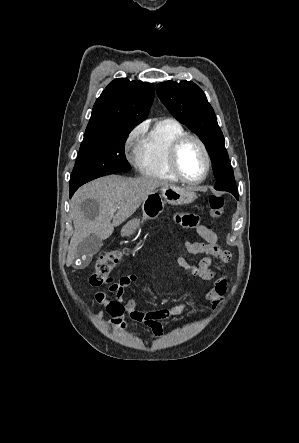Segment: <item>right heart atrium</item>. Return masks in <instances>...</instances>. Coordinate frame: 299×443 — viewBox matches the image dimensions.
Segmentation results:
<instances>
[{"instance_id": "obj_1", "label": "right heart atrium", "mask_w": 299, "mask_h": 443, "mask_svg": "<svg viewBox=\"0 0 299 443\" xmlns=\"http://www.w3.org/2000/svg\"><path fill=\"white\" fill-rule=\"evenodd\" d=\"M145 131V125L140 124L132 128L124 141V152L132 164L138 165L141 137Z\"/></svg>"}]
</instances>
